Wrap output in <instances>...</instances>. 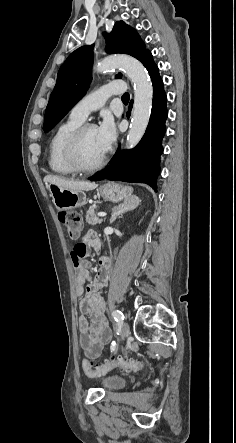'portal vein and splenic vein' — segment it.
Instances as JSON below:
<instances>
[{"label":"portal vein and splenic vein","instance_id":"obj_1","mask_svg":"<svg viewBox=\"0 0 236 443\" xmlns=\"http://www.w3.org/2000/svg\"><path fill=\"white\" fill-rule=\"evenodd\" d=\"M98 216H99V217H105V216H106V213H105V212H100V213H98Z\"/></svg>","mask_w":236,"mask_h":443}]
</instances>
